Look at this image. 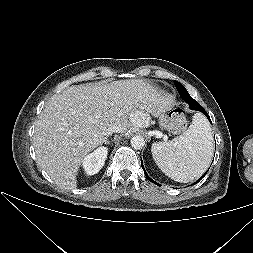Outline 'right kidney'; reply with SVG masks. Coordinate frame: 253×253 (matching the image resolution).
<instances>
[{"instance_id": "obj_1", "label": "right kidney", "mask_w": 253, "mask_h": 253, "mask_svg": "<svg viewBox=\"0 0 253 253\" xmlns=\"http://www.w3.org/2000/svg\"><path fill=\"white\" fill-rule=\"evenodd\" d=\"M108 149L99 147L94 152L87 155L83 160V168L88 175H94L103 167Z\"/></svg>"}]
</instances>
